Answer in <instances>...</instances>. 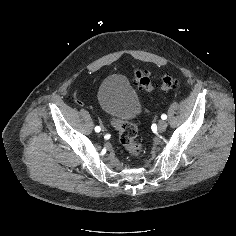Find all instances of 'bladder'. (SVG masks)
I'll return each mask as SVG.
<instances>
[{
	"mask_svg": "<svg viewBox=\"0 0 236 236\" xmlns=\"http://www.w3.org/2000/svg\"><path fill=\"white\" fill-rule=\"evenodd\" d=\"M99 105L112 120L134 121L142 112V105L134 89L122 75H110L99 85Z\"/></svg>",
	"mask_w": 236,
	"mask_h": 236,
	"instance_id": "bladder-1",
	"label": "bladder"
}]
</instances>
